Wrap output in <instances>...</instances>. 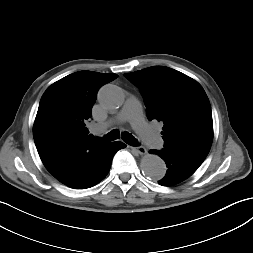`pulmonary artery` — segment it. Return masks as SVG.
I'll return each instance as SVG.
<instances>
[{"mask_svg":"<svg viewBox=\"0 0 253 253\" xmlns=\"http://www.w3.org/2000/svg\"><path fill=\"white\" fill-rule=\"evenodd\" d=\"M128 120L138 130L144 142L152 147L159 149L163 141L161 137L150 129L142 119V108L139 101L135 98H129L121 112L118 114L116 121ZM108 124H111L109 122Z\"/></svg>","mask_w":253,"mask_h":253,"instance_id":"1","label":"pulmonary artery"}]
</instances>
